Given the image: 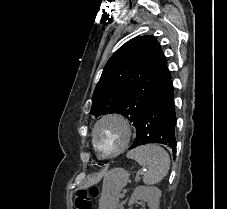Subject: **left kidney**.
I'll list each match as a JSON object with an SVG mask.
<instances>
[{"label":"left kidney","instance_id":"left-kidney-1","mask_svg":"<svg viewBox=\"0 0 227 209\" xmlns=\"http://www.w3.org/2000/svg\"><path fill=\"white\" fill-rule=\"evenodd\" d=\"M161 197L160 189L157 187H136L132 193V197L128 203L130 209L134 205L135 201H146L149 209H159V199Z\"/></svg>","mask_w":227,"mask_h":209}]
</instances>
